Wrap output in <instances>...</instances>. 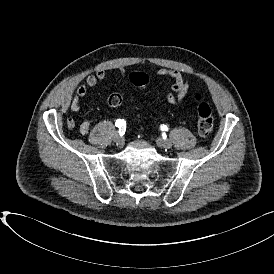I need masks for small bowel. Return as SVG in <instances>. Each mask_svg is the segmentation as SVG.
<instances>
[{
  "instance_id": "c3829d8e",
  "label": "small bowel",
  "mask_w": 274,
  "mask_h": 274,
  "mask_svg": "<svg viewBox=\"0 0 274 274\" xmlns=\"http://www.w3.org/2000/svg\"><path fill=\"white\" fill-rule=\"evenodd\" d=\"M118 72L121 77L125 76V71L123 68H118ZM156 75L160 78H169L172 80L170 84V89L166 93V100L171 105H180L187 98L190 93L191 85L188 78H186L183 73L179 70L161 67L156 70ZM106 71L101 69L94 74H90L87 78L81 82L72 97L70 108L72 111L77 112L80 110V101L83 99L88 89L94 88L99 82L106 79ZM91 128V121L84 120L79 127L80 133L86 135L89 133Z\"/></svg>"
}]
</instances>
